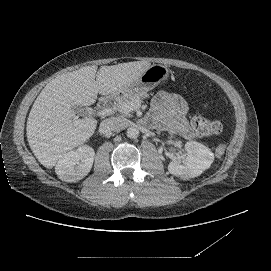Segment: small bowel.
I'll return each mask as SVG.
<instances>
[{"instance_id": "small-bowel-1", "label": "small bowel", "mask_w": 271, "mask_h": 271, "mask_svg": "<svg viewBox=\"0 0 271 271\" xmlns=\"http://www.w3.org/2000/svg\"><path fill=\"white\" fill-rule=\"evenodd\" d=\"M152 106L165 129L185 139L193 137V130L186 118L189 106L181 96L160 92L153 99Z\"/></svg>"}]
</instances>
